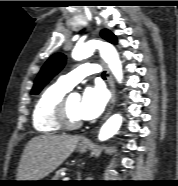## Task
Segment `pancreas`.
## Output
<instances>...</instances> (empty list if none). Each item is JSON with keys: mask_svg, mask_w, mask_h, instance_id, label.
<instances>
[{"mask_svg": "<svg viewBox=\"0 0 178 186\" xmlns=\"http://www.w3.org/2000/svg\"><path fill=\"white\" fill-rule=\"evenodd\" d=\"M62 171L63 170H59V171L56 172V174H55V176L53 178L54 181H60V179L62 178V175H61Z\"/></svg>", "mask_w": 178, "mask_h": 186, "instance_id": "pancreas-1", "label": "pancreas"}]
</instances>
